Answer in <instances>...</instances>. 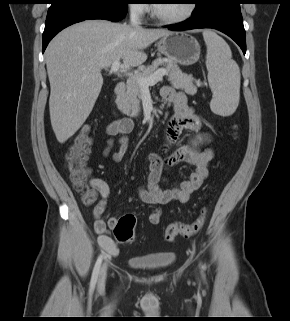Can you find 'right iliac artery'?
<instances>
[{
	"instance_id": "82829eb1",
	"label": "right iliac artery",
	"mask_w": 290,
	"mask_h": 321,
	"mask_svg": "<svg viewBox=\"0 0 290 321\" xmlns=\"http://www.w3.org/2000/svg\"><path fill=\"white\" fill-rule=\"evenodd\" d=\"M102 260H103V254H101L96 263H95V266H94V269H93V273H92V278H91V282H90V289H94L95 287V284L97 282V278H98V274H99V270H100V266H101V263H102Z\"/></svg>"
}]
</instances>
